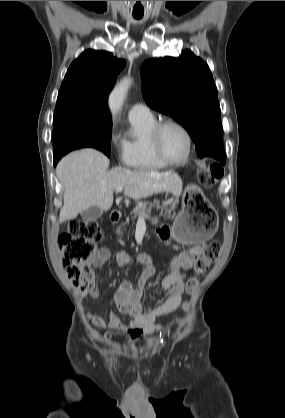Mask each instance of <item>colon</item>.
Wrapping results in <instances>:
<instances>
[{
  "label": "colon",
  "mask_w": 285,
  "mask_h": 418,
  "mask_svg": "<svg viewBox=\"0 0 285 418\" xmlns=\"http://www.w3.org/2000/svg\"><path fill=\"white\" fill-rule=\"evenodd\" d=\"M223 176V169L217 165H207L202 168L199 182L206 187L211 186ZM101 229L96 222H85L81 219L70 221L68 229L58 237V243L63 254L64 269L72 282L80 289L91 286V271L88 260L97 252V243L101 239ZM221 252L218 241L208 243L198 255L194 263V275L189 278L187 288L191 292L197 285V278L215 261ZM188 303L183 306L187 310Z\"/></svg>",
  "instance_id": "5ec220e1"
}]
</instances>
